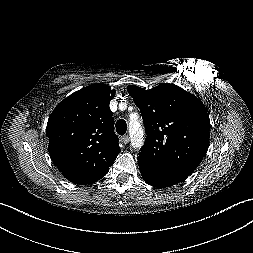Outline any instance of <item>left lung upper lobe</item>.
I'll use <instances>...</instances> for the list:
<instances>
[{
	"instance_id": "5c2ea615",
	"label": "left lung upper lobe",
	"mask_w": 253,
	"mask_h": 253,
	"mask_svg": "<svg viewBox=\"0 0 253 253\" xmlns=\"http://www.w3.org/2000/svg\"><path fill=\"white\" fill-rule=\"evenodd\" d=\"M140 109L146 140L139 152L154 166L191 174L209 147V114L195 95L162 83L151 90L127 87Z\"/></svg>"
}]
</instances>
